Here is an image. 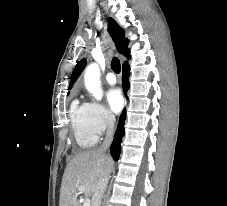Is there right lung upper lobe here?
I'll return each instance as SVG.
<instances>
[{
  "instance_id": "right-lung-upper-lobe-1",
  "label": "right lung upper lobe",
  "mask_w": 227,
  "mask_h": 206,
  "mask_svg": "<svg viewBox=\"0 0 227 206\" xmlns=\"http://www.w3.org/2000/svg\"><path fill=\"white\" fill-rule=\"evenodd\" d=\"M108 32L111 35L118 52L123 54L125 57L129 59L130 51L127 49L128 40H125V32L112 18L108 19ZM85 65H86V59H82L78 62L70 78L71 80H70L69 89L73 86L74 82L77 80L78 76L80 75Z\"/></svg>"
}]
</instances>
